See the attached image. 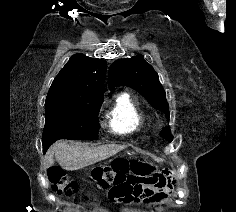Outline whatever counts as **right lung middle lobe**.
Instances as JSON below:
<instances>
[{"instance_id": "1", "label": "right lung middle lobe", "mask_w": 236, "mask_h": 212, "mask_svg": "<svg viewBox=\"0 0 236 212\" xmlns=\"http://www.w3.org/2000/svg\"><path fill=\"white\" fill-rule=\"evenodd\" d=\"M103 98L87 102L45 103L46 121L43 130V150L56 140H96L99 129L98 113Z\"/></svg>"}]
</instances>
